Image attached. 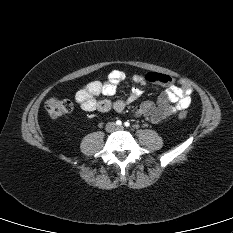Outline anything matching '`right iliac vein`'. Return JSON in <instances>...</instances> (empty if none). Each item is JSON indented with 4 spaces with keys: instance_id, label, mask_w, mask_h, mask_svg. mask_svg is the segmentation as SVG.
Returning <instances> with one entry per match:
<instances>
[{
    "instance_id": "63e3f726",
    "label": "right iliac vein",
    "mask_w": 233,
    "mask_h": 233,
    "mask_svg": "<svg viewBox=\"0 0 233 233\" xmlns=\"http://www.w3.org/2000/svg\"><path fill=\"white\" fill-rule=\"evenodd\" d=\"M107 129H108L109 131L113 130V129H114V124H113V123H109V124L107 125Z\"/></svg>"
}]
</instances>
